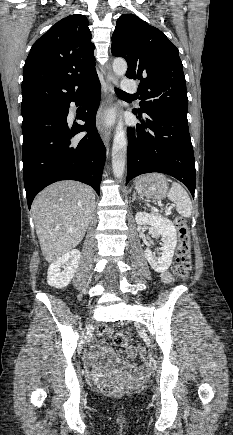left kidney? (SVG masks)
<instances>
[{"label":"left kidney","mask_w":233,"mask_h":435,"mask_svg":"<svg viewBox=\"0 0 233 435\" xmlns=\"http://www.w3.org/2000/svg\"><path fill=\"white\" fill-rule=\"evenodd\" d=\"M135 220L139 225L148 224L152 226L154 233L162 238L160 256L155 257L150 248L145 250V256L156 272L166 271L172 263L177 244V232L174 224L167 218L147 212H138L135 215Z\"/></svg>","instance_id":"obj_1"}]
</instances>
